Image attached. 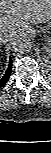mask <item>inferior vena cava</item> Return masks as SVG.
I'll return each mask as SVG.
<instances>
[{
	"instance_id": "602c4592",
	"label": "inferior vena cava",
	"mask_w": 51,
	"mask_h": 153,
	"mask_svg": "<svg viewBox=\"0 0 51 153\" xmlns=\"http://www.w3.org/2000/svg\"><path fill=\"white\" fill-rule=\"evenodd\" d=\"M10 37H11L10 35H6L4 33H1L0 34V41L2 43H6V42H8L10 40Z\"/></svg>"
}]
</instances>
